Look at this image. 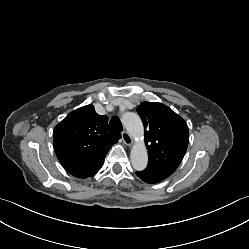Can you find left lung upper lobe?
Masks as SVG:
<instances>
[{
	"instance_id": "5c2ea615",
	"label": "left lung upper lobe",
	"mask_w": 249,
	"mask_h": 249,
	"mask_svg": "<svg viewBox=\"0 0 249 249\" xmlns=\"http://www.w3.org/2000/svg\"><path fill=\"white\" fill-rule=\"evenodd\" d=\"M137 112L144 125V139L148 149L145 170L170 176L181 163L189 142L186 122L164 104L143 102Z\"/></svg>"
}]
</instances>
